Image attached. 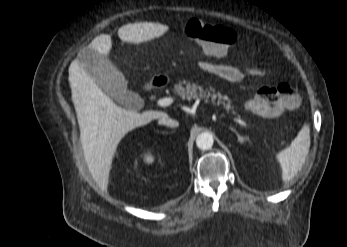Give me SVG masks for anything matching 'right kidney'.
I'll list each match as a JSON object with an SVG mask.
<instances>
[{
	"label": "right kidney",
	"instance_id": "1",
	"mask_svg": "<svg viewBox=\"0 0 347 247\" xmlns=\"http://www.w3.org/2000/svg\"><path fill=\"white\" fill-rule=\"evenodd\" d=\"M144 162L147 164H152L154 162V156L149 153L144 155Z\"/></svg>",
	"mask_w": 347,
	"mask_h": 247
}]
</instances>
